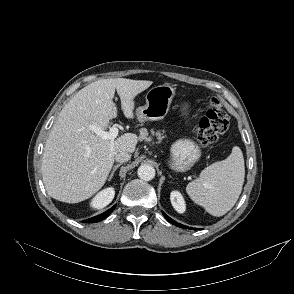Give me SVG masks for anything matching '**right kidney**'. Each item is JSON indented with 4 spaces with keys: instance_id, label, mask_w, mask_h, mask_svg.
<instances>
[{
    "instance_id": "obj_1",
    "label": "right kidney",
    "mask_w": 294,
    "mask_h": 294,
    "mask_svg": "<svg viewBox=\"0 0 294 294\" xmlns=\"http://www.w3.org/2000/svg\"><path fill=\"white\" fill-rule=\"evenodd\" d=\"M115 190L112 187L106 188L100 191L90 203V206L95 209H101L106 207L113 200Z\"/></svg>"
}]
</instances>
